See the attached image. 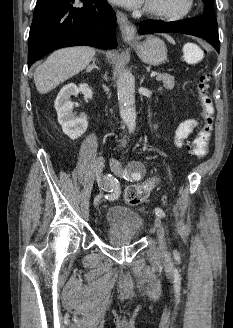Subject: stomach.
Listing matches in <instances>:
<instances>
[{
	"label": "stomach",
	"mask_w": 233,
	"mask_h": 328,
	"mask_svg": "<svg viewBox=\"0 0 233 328\" xmlns=\"http://www.w3.org/2000/svg\"><path fill=\"white\" fill-rule=\"evenodd\" d=\"M135 50L139 58L150 65H160L167 59V48L163 40L148 35L144 40L133 41Z\"/></svg>",
	"instance_id": "0dacf381"
}]
</instances>
